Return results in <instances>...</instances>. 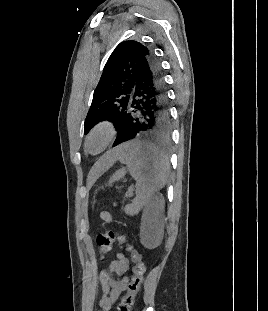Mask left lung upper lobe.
<instances>
[{"instance_id":"obj_1","label":"left lung upper lobe","mask_w":268,"mask_h":311,"mask_svg":"<svg viewBox=\"0 0 268 311\" xmlns=\"http://www.w3.org/2000/svg\"><path fill=\"white\" fill-rule=\"evenodd\" d=\"M152 52L137 41L121 42L109 57L84 124V133L102 120L111 121L119 131L135 87L138 68Z\"/></svg>"}]
</instances>
